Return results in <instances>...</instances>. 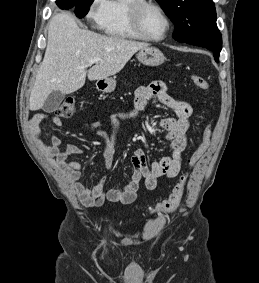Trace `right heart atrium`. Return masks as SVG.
I'll use <instances>...</instances> for the list:
<instances>
[{
  "mask_svg": "<svg viewBox=\"0 0 259 283\" xmlns=\"http://www.w3.org/2000/svg\"><path fill=\"white\" fill-rule=\"evenodd\" d=\"M108 0H91L86 13L88 21L96 27H100L104 17Z\"/></svg>",
  "mask_w": 259,
  "mask_h": 283,
  "instance_id": "obj_1",
  "label": "right heart atrium"
}]
</instances>
